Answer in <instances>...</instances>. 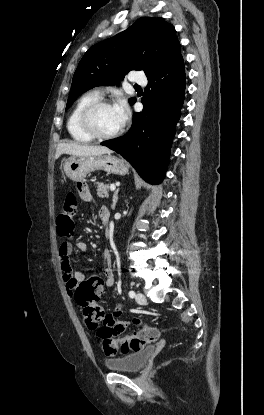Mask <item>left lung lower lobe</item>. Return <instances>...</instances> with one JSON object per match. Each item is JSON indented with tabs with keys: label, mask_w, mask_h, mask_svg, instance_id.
<instances>
[{
	"label": "left lung lower lobe",
	"mask_w": 264,
	"mask_h": 415,
	"mask_svg": "<svg viewBox=\"0 0 264 415\" xmlns=\"http://www.w3.org/2000/svg\"><path fill=\"white\" fill-rule=\"evenodd\" d=\"M143 111L133 114L130 130L101 145L124 157L151 184L164 178L175 126L185 94V69L180 56L163 70L148 76Z\"/></svg>",
	"instance_id": "0a47b994"
}]
</instances>
